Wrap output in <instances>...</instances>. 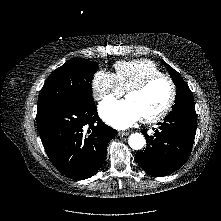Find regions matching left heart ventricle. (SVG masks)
I'll use <instances>...</instances> for the list:
<instances>
[{"label":"left heart ventricle","instance_id":"obj_1","mask_svg":"<svg viewBox=\"0 0 221 221\" xmlns=\"http://www.w3.org/2000/svg\"><path fill=\"white\" fill-rule=\"evenodd\" d=\"M170 97V85L166 80H158L140 93H130V100L138 109L141 118L157 114L166 105Z\"/></svg>","mask_w":221,"mask_h":221}]
</instances>
